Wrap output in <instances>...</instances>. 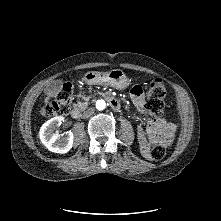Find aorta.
<instances>
[{"label": "aorta", "instance_id": "762f6f07", "mask_svg": "<svg viewBox=\"0 0 221 221\" xmlns=\"http://www.w3.org/2000/svg\"><path fill=\"white\" fill-rule=\"evenodd\" d=\"M106 107V102L104 100H98L96 102V108L97 110H104Z\"/></svg>", "mask_w": 221, "mask_h": 221}]
</instances>
